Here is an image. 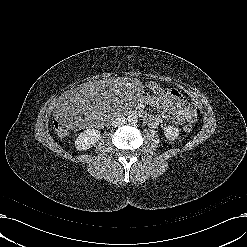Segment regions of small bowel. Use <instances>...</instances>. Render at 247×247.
Masks as SVG:
<instances>
[{
  "label": "small bowel",
  "instance_id": "obj_1",
  "mask_svg": "<svg viewBox=\"0 0 247 247\" xmlns=\"http://www.w3.org/2000/svg\"><path fill=\"white\" fill-rule=\"evenodd\" d=\"M152 84L157 83H151L150 85ZM163 88L166 89L168 93L166 100L159 102L150 97L145 99L146 102L162 110L160 114L151 116V121L148 122V124L151 127H157L159 124L167 121H171L175 125H182L186 121L194 122L196 119L195 108L189 104L177 90L166 87Z\"/></svg>",
  "mask_w": 247,
  "mask_h": 247
}]
</instances>
